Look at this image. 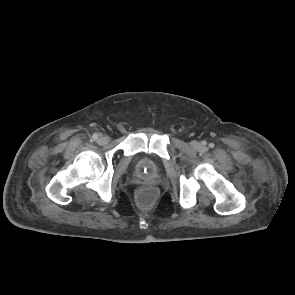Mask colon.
Returning a JSON list of instances; mask_svg holds the SVG:
<instances>
[{
    "instance_id": "1",
    "label": "colon",
    "mask_w": 295,
    "mask_h": 295,
    "mask_svg": "<svg viewBox=\"0 0 295 295\" xmlns=\"http://www.w3.org/2000/svg\"><path fill=\"white\" fill-rule=\"evenodd\" d=\"M157 197V190L152 186H143L137 191V200L143 206L152 204Z\"/></svg>"
}]
</instances>
